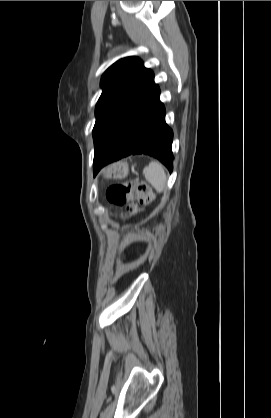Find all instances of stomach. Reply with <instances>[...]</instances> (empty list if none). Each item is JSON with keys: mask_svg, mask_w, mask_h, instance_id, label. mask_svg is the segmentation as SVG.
Segmentation results:
<instances>
[{"mask_svg": "<svg viewBox=\"0 0 271 418\" xmlns=\"http://www.w3.org/2000/svg\"><path fill=\"white\" fill-rule=\"evenodd\" d=\"M129 173V166L126 162H116L109 166L104 172L103 175L107 178L113 179H124Z\"/></svg>", "mask_w": 271, "mask_h": 418, "instance_id": "1", "label": "stomach"}]
</instances>
